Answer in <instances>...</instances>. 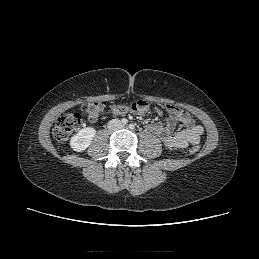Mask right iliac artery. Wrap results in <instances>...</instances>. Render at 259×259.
Listing matches in <instances>:
<instances>
[{
    "mask_svg": "<svg viewBox=\"0 0 259 259\" xmlns=\"http://www.w3.org/2000/svg\"><path fill=\"white\" fill-rule=\"evenodd\" d=\"M121 122H122V124L126 125V124L128 123V120H127L126 118H123V119L121 120Z\"/></svg>",
    "mask_w": 259,
    "mask_h": 259,
    "instance_id": "82829eb1",
    "label": "right iliac artery"
}]
</instances>
